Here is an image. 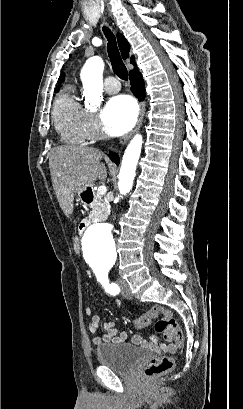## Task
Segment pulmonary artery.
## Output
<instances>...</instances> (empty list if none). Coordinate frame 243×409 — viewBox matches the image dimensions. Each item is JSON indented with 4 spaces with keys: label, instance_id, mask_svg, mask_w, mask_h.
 Returning <instances> with one entry per match:
<instances>
[{
    "label": "pulmonary artery",
    "instance_id": "obj_1",
    "mask_svg": "<svg viewBox=\"0 0 243 409\" xmlns=\"http://www.w3.org/2000/svg\"><path fill=\"white\" fill-rule=\"evenodd\" d=\"M104 88L108 93H116L120 90V84L115 77L109 76L105 79Z\"/></svg>",
    "mask_w": 243,
    "mask_h": 409
}]
</instances>
